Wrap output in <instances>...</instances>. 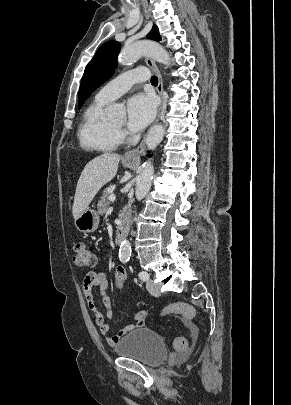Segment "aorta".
Instances as JSON below:
<instances>
[{
	"instance_id": "obj_1",
	"label": "aorta",
	"mask_w": 291,
	"mask_h": 405,
	"mask_svg": "<svg viewBox=\"0 0 291 405\" xmlns=\"http://www.w3.org/2000/svg\"><path fill=\"white\" fill-rule=\"evenodd\" d=\"M147 55L157 62L169 67L170 56L168 52L158 43L149 40L137 41L131 45L125 46L118 57L121 65H129L136 62L141 56ZM124 110L119 105L112 104L107 108V116L110 119L120 118L124 115ZM165 127L155 125L150 128L146 136V145L148 150H154L163 140ZM154 167L150 159L143 164V169L137 178L135 196L141 201L149 192L152 184ZM131 255V244L124 239L119 249V259L127 261Z\"/></svg>"
}]
</instances>
